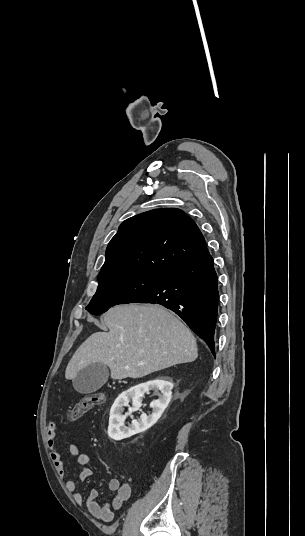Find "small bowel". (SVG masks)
<instances>
[{"mask_svg": "<svg viewBox=\"0 0 305 536\" xmlns=\"http://www.w3.org/2000/svg\"><path fill=\"white\" fill-rule=\"evenodd\" d=\"M46 430V442L50 450V458L56 469L57 476L60 479L65 477V468L60 451L56 446V439L58 437L55 432V422L50 420L45 427ZM69 455L75 457L77 464L82 467L78 474L80 481L87 480L92 475L91 468L88 465L91 463V457L87 454H82L80 447L77 444H72L69 447ZM65 489L67 492L73 494V498L77 503H81L83 496L80 492H76V482L73 480H67L65 482ZM108 489L112 493L110 501L100 503L98 501V490L92 489L87 498V509L97 519L104 522H111L114 518V511L122 508L131 496V487L128 483H121L117 478H110L108 481Z\"/></svg>", "mask_w": 305, "mask_h": 536, "instance_id": "1", "label": "small bowel"}]
</instances>
